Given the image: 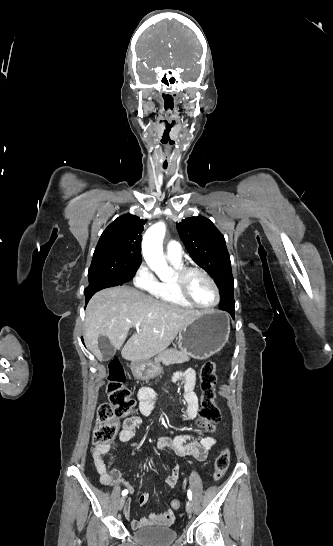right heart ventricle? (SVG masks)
<instances>
[{"instance_id":"1","label":"right heart ventricle","mask_w":333,"mask_h":546,"mask_svg":"<svg viewBox=\"0 0 333 546\" xmlns=\"http://www.w3.org/2000/svg\"><path fill=\"white\" fill-rule=\"evenodd\" d=\"M175 271L183 267L182 262L170 261ZM156 297L163 303L176 305L183 308H192V305L183 300L177 293L174 278L160 282L159 292Z\"/></svg>"}]
</instances>
